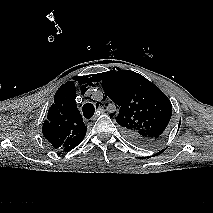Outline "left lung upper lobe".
<instances>
[{
	"label": "left lung upper lobe",
	"mask_w": 213,
	"mask_h": 213,
	"mask_svg": "<svg viewBox=\"0 0 213 213\" xmlns=\"http://www.w3.org/2000/svg\"><path fill=\"white\" fill-rule=\"evenodd\" d=\"M102 88L118 109L116 121L128 139L139 145H152L167 132L172 116L168 97L142 75L113 68L102 73Z\"/></svg>",
	"instance_id": "obj_1"
}]
</instances>
